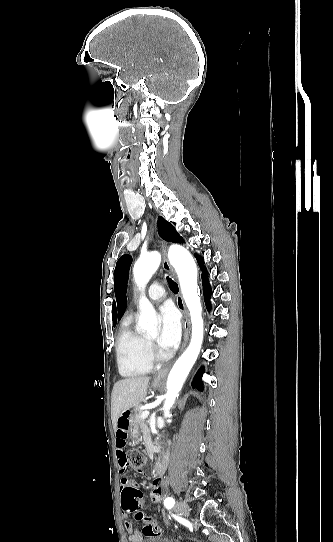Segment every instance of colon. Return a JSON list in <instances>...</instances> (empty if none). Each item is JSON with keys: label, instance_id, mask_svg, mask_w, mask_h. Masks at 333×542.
Masks as SVG:
<instances>
[{"label": "colon", "instance_id": "obj_1", "mask_svg": "<svg viewBox=\"0 0 333 542\" xmlns=\"http://www.w3.org/2000/svg\"><path fill=\"white\" fill-rule=\"evenodd\" d=\"M129 455V467L133 468L137 472H141L146 461V455L143 451L134 450L128 453ZM143 491L139 483H130L129 487H124L122 491L121 502L124 506V514L126 516H134L136 522H144L142 530L148 534V536L156 538L158 537V529L151 526L154 522L152 516L147 515L139 511V502L142 500Z\"/></svg>", "mask_w": 333, "mask_h": 542}]
</instances>
